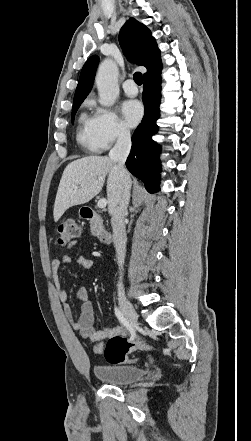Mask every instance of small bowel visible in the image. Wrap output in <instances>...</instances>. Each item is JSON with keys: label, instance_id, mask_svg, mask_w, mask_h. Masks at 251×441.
<instances>
[{"label": "small bowel", "instance_id": "c3829d8e", "mask_svg": "<svg viewBox=\"0 0 251 441\" xmlns=\"http://www.w3.org/2000/svg\"><path fill=\"white\" fill-rule=\"evenodd\" d=\"M74 245V243H72ZM73 261L69 254H64L60 259H54L51 262V274L53 283L59 300L63 304V311L66 319L69 321L71 327L78 331L82 337L89 339L91 342L101 344V342L113 336L124 337L126 332L122 327H108L104 329H96L94 327V306L89 298L88 292L84 287L77 290V298L81 301L80 315L77 319L74 318L71 305L68 302L69 296L65 288L62 286L59 278V270L62 264H68ZM76 264L84 270H90L93 267V261L85 256H79L75 260Z\"/></svg>", "mask_w": 251, "mask_h": 441}]
</instances>
